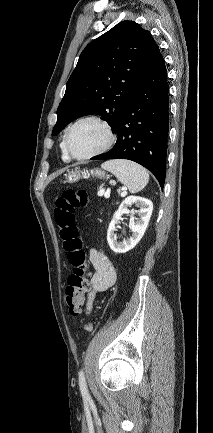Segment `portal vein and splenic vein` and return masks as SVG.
<instances>
[{"label":"portal vein and splenic vein","instance_id":"1","mask_svg":"<svg viewBox=\"0 0 213 433\" xmlns=\"http://www.w3.org/2000/svg\"><path fill=\"white\" fill-rule=\"evenodd\" d=\"M105 198H109L110 197V189H108L106 192H105Z\"/></svg>","mask_w":213,"mask_h":433}]
</instances>
